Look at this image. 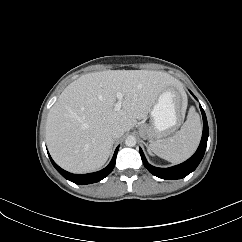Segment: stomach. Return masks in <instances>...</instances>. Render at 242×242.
<instances>
[{"mask_svg": "<svg viewBox=\"0 0 242 242\" xmlns=\"http://www.w3.org/2000/svg\"><path fill=\"white\" fill-rule=\"evenodd\" d=\"M187 99L174 87H167L158 96L151 110L152 123L141 130V135L150 143L174 132L182 123Z\"/></svg>", "mask_w": 242, "mask_h": 242, "instance_id": "obj_1", "label": "stomach"}]
</instances>
